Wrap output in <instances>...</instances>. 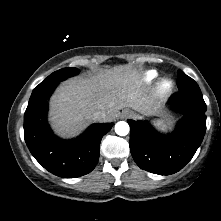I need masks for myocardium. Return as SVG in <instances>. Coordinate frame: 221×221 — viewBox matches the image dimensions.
Wrapping results in <instances>:
<instances>
[{"instance_id":"f54148a6","label":"myocardium","mask_w":221,"mask_h":221,"mask_svg":"<svg viewBox=\"0 0 221 221\" xmlns=\"http://www.w3.org/2000/svg\"><path fill=\"white\" fill-rule=\"evenodd\" d=\"M174 84L170 79H162L158 85V91L161 95H167L173 90Z\"/></svg>"}]
</instances>
